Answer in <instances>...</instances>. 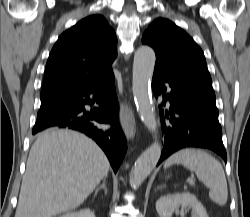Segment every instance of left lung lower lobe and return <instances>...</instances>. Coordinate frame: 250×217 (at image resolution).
Masks as SVG:
<instances>
[{
	"label": "left lung lower lobe",
	"mask_w": 250,
	"mask_h": 217,
	"mask_svg": "<svg viewBox=\"0 0 250 217\" xmlns=\"http://www.w3.org/2000/svg\"><path fill=\"white\" fill-rule=\"evenodd\" d=\"M152 90L156 98L163 97L161 106L170 103L168 110L159 107L165 142L158 164L187 147L210 149L227 161L212 83L172 78L154 71Z\"/></svg>",
	"instance_id": "obj_1"
}]
</instances>
